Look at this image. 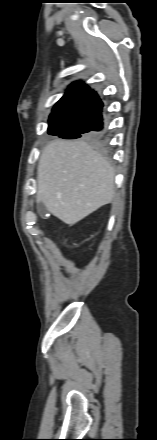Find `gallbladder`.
<instances>
[{"label":"gallbladder","instance_id":"gallbladder-1","mask_svg":"<svg viewBox=\"0 0 157 440\" xmlns=\"http://www.w3.org/2000/svg\"><path fill=\"white\" fill-rule=\"evenodd\" d=\"M37 211L41 216H45L47 209L43 202L37 201Z\"/></svg>","mask_w":157,"mask_h":440}]
</instances>
